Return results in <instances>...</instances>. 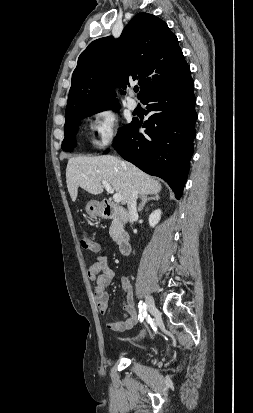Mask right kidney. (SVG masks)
I'll use <instances>...</instances> for the list:
<instances>
[{"label":"right kidney","mask_w":253,"mask_h":413,"mask_svg":"<svg viewBox=\"0 0 253 413\" xmlns=\"http://www.w3.org/2000/svg\"><path fill=\"white\" fill-rule=\"evenodd\" d=\"M161 218V210L157 209L151 213L149 216V224L152 228H154L158 222L160 221Z\"/></svg>","instance_id":"ca27d5eb"}]
</instances>
